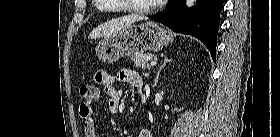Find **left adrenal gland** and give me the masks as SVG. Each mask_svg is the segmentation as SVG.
Instances as JSON below:
<instances>
[{
	"label": "left adrenal gland",
	"instance_id": "1",
	"mask_svg": "<svg viewBox=\"0 0 280 137\" xmlns=\"http://www.w3.org/2000/svg\"><path fill=\"white\" fill-rule=\"evenodd\" d=\"M170 61H171V59H168V56L166 55L165 58H164L163 64L161 65V67L159 68V70H158V72H157V74H156V79H155L154 86H156V84H157V82H158V80H159V75H160L161 70H162V69L165 67V65H166L167 63H169Z\"/></svg>",
	"mask_w": 280,
	"mask_h": 137
}]
</instances>
